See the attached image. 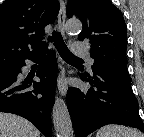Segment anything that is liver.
<instances>
[{
	"label": "liver",
	"mask_w": 144,
	"mask_h": 137,
	"mask_svg": "<svg viewBox=\"0 0 144 137\" xmlns=\"http://www.w3.org/2000/svg\"><path fill=\"white\" fill-rule=\"evenodd\" d=\"M0 137H40V132L20 116L0 113Z\"/></svg>",
	"instance_id": "1"
}]
</instances>
